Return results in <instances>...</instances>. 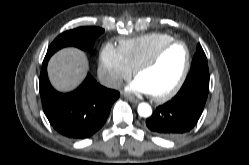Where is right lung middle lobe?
Segmentation results:
<instances>
[{"label":"right lung middle lobe","instance_id":"obj_1","mask_svg":"<svg viewBox=\"0 0 249 165\" xmlns=\"http://www.w3.org/2000/svg\"><path fill=\"white\" fill-rule=\"evenodd\" d=\"M104 32V29L98 27H79L60 34L50 45L47 56H51L57 50L74 46L81 50L91 52L97 37Z\"/></svg>","mask_w":249,"mask_h":165}]
</instances>
